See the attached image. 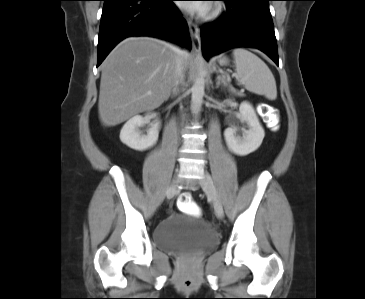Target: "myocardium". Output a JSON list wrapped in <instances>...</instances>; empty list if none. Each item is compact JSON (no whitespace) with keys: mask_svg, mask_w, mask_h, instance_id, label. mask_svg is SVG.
I'll list each match as a JSON object with an SVG mask.
<instances>
[{"mask_svg":"<svg viewBox=\"0 0 365 299\" xmlns=\"http://www.w3.org/2000/svg\"><path fill=\"white\" fill-rule=\"evenodd\" d=\"M223 12V7L219 4H215L214 6L210 7L209 10L205 13L204 18L206 20H212L221 15Z\"/></svg>","mask_w":365,"mask_h":299,"instance_id":"myocardium-1","label":"myocardium"}]
</instances>
